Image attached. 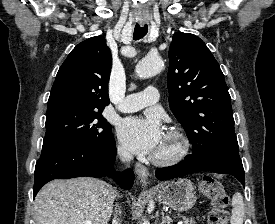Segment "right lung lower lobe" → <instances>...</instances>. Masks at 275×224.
<instances>
[{"label":"right lung lower lobe","mask_w":275,"mask_h":224,"mask_svg":"<svg viewBox=\"0 0 275 224\" xmlns=\"http://www.w3.org/2000/svg\"><path fill=\"white\" fill-rule=\"evenodd\" d=\"M116 143L113 135L107 140L86 145H47L35 167L33 197L44 184L53 179L74 177H113L123 189H130L134 173L128 169L116 172L113 169Z\"/></svg>","instance_id":"obj_1"}]
</instances>
